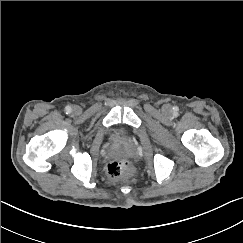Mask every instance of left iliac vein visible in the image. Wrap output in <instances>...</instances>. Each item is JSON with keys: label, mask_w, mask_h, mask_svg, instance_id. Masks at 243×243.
<instances>
[{"label": "left iliac vein", "mask_w": 243, "mask_h": 243, "mask_svg": "<svg viewBox=\"0 0 243 243\" xmlns=\"http://www.w3.org/2000/svg\"><path fill=\"white\" fill-rule=\"evenodd\" d=\"M164 111H169L170 110V106L169 105H165L163 108Z\"/></svg>", "instance_id": "obj_1"}]
</instances>
